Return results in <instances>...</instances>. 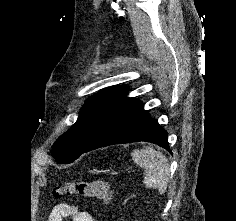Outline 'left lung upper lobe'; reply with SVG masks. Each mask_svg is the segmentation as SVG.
I'll list each match as a JSON object with an SVG mask.
<instances>
[{"label": "left lung upper lobe", "instance_id": "left-lung-upper-lobe-1", "mask_svg": "<svg viewBox=\"0 0 236 221\" xmlns=\"http://www.w3.org/2000/svg\"><path fill=\"white\" fill-rule=\"evenodd\" d=\"M121 88L104 89L86 101L76 123L52 146V155L59 163L73 162L105 119L127 100V90Z\"/></svg>", "mask_w": 236, "mask_h": 221}]
</instances>
